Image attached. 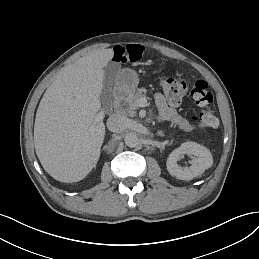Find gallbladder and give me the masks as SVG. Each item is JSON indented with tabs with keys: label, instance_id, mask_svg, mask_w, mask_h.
<instances>
[{
	"label": "gallbladder",
	"instance_id": "gallbladder-1",
	"mask_svg": "<svg viewBox=\"0 0 259 259\" xmlns=\"http://www.w3.org/2000/svg\"><path fill=\"white\" fill-rule=\"evenodd\" d=\"M120 69V64L119 63H109L104 71V81H103V89L101 93V101H102V106L103 110L106 112H111L112 111V100H113V95H112V86H113V80L115 77V74L117 71Z\"/></svg>",
	"mask_w": 259,
	"mask_h": 259
}]
</instances>
